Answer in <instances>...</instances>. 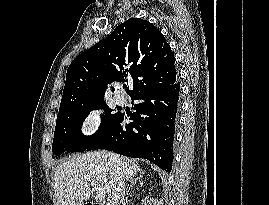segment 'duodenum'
<instances>
[{
	"label": "duodenum",
	"mask_w": 269,
	"mask_h": 205,
	"mask_svg": "<svg viewBox=\"0 0 269 205\" xmlns=\"http://www.w3.org/2000/svg\"><path fill=\"white\" fill-rule=\"evenodd\" d=\"M85 205H101L100 203H93V202H88Z\"/></svg>",
	"instance_id": "obj_1"
}]
</instances>
